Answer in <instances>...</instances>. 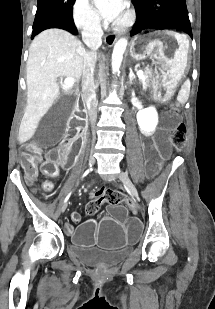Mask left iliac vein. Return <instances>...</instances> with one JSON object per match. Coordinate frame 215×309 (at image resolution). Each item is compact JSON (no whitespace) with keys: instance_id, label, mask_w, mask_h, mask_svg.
I'll use <instances>...</instances> for the list:
<instances>
[{"instance_id":"4c4485c4","label":"left iliac vein","mask_w":215,"mask_h":309,"mask_svg":"<svg viewBox=\"0 0 215 309\" xmlns=\"http://www.w3.org/2000/svg\"><path fill=\"white\" fill-rule=\"evenodd\" d=\"M120 180L125 184V186L127 187L129 193L134 196L135 198L138 199V191L136 189V187L134 186V184L132 183V181L130 180V178L128 177L127 173L124 171H121L119 174Z\"/></svg>"}]
</instances>
